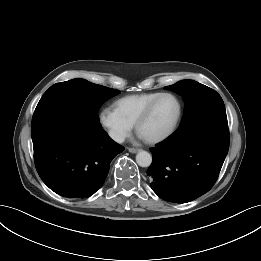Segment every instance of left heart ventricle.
Listing matches in <instances>:
<instances>
[{
    "mask_svg": "<svg viewBox=\"0 0 261 261\" xmlns=\"http://www.w3.org/2000/svg\"><path fill=\"white\" fill-rule=\"evenodd\" d=\"M177 113V104L171 97L160 99L149 118L141 125L139 135L144 139L153 138L166 131Z\"/></svg>",
    "mask_w": 261,
    "mask_h": 261,
    "instance_id": "b2bd125f",
    "label": "left heart ventricle"
}]
</instances>
